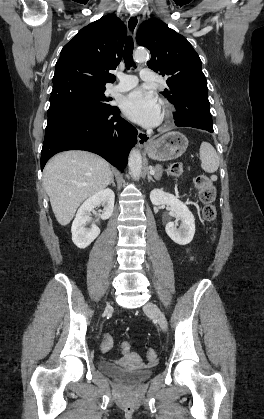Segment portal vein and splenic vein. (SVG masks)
Segmentation results:
<instances>
[{
    "label": "portal vein and splenic vein",
    "instance_id": "1",
    "mask_svg": "<svg viewBox=\"0 0 264 419\" xmlns=\"http://www.w3.org/2000/svg\"><path fill=\"white\" fill-rule=\"evenodd\" d=\"M150 173L154 175L155 171L151 168Z\"/></svg>",
    "mask_w": 264,
    "mask_h": 419
}]
</instances>
